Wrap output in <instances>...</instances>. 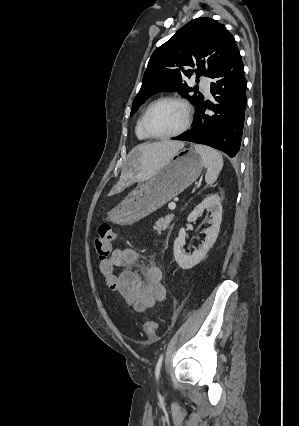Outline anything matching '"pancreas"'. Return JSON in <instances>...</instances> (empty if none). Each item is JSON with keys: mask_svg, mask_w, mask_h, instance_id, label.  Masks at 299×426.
<instances>
[{"mask_svg": "<svg viewBox=\"0 0 299 426\" xmlns=\"http://www.w3.org/2000/svg\"><path fill=\"white\" fill-rule=\"evenodd\" d=\"M172 219V215H168L165 218H160L154 226V229L156 230L157 234H162V232L170 226Z\"/></svg>", "mask_w": 299, "mask_h": 426, "instance_id": "obj_1", "label": "pancreas"}]
</instances>
